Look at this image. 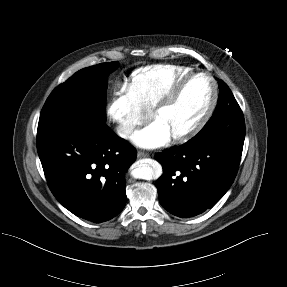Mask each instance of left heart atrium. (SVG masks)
I'll return each instance as SVG.
<instances>
[{
    "mask_svg": "<svg viewBox=\"0 0 287 287\" xmlns=\"http://www.w3.org/2000/svg\"><path fill=\"white\" fill-rule=\"evenodd\" d=\"M170 131L159 120H154L136 132L133 141L143 148H157L165 145L170 139Z\"/></svg>",
    "mask_w": 287,
    "mask_h": 287,
    "instance_id": "left-heart-atrium-1",
    "label": "left heart atrium"
}]
</instances>
